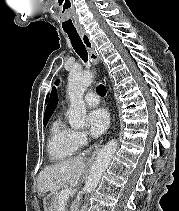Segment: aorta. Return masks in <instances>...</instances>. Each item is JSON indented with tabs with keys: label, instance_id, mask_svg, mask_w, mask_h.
Instances as JSON below:
<instances>
[{
	"label": "aorta",
	"instance_id": "1",
	"mask_svg": "<svg viewBox=\"0 0 179 211\" xmlns=\"http://www.w3.org/2000/svg\"><path fill=\"white\" fill-rule=\"evenodd\" d=\"M92 80L93 73L91 71L72 72L69 75L67 92L70 99V108L68 119L71 127L75 129H81L86 125V106L83 95ZM117 146V141L111 140L98 153L84 187L86 194L91 193L97 187L117 150Z\"/></svg>",
	"mask_w": 179,
	"mask_h": 211
}]
</instances>
